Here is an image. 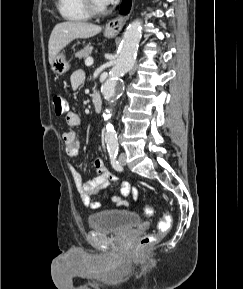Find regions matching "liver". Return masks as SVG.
Wrapping results in <instances>:
<instances>
[{
  "label": "liver",
  "instance_id": "6515ba94",
  "mask_svg": "<svg viewBox=\"0 0 243 289\" xmlns=\"http://www.w3.org/2000/svg\"><path fill=\"white\" fill-rule=\"evenodd\" d=\"M102 28L98 25L66 21L58 23L52 30L48 42L49 63L52 64L57 54L75 39H87L97 35Z\"/></svg>",
  "mask_w": 243,
  "mask_h": 289
}]
</instances>
